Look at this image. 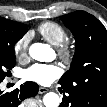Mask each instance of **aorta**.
I'll return each mask as SVG.
<instances>
[{
  "instance_id": "1",
  "label": "aorta",
  "mask_w": 107,
  "mask_h": 107,
  "mask_svg": "<svg viewBox=\"0 0 107 107\" xmlns=\"http://www.w3.org/2000/svg\"><path fill=\"white\" fill-rule=\"evenodd\" d=\"M49 52V46L43 43H34L29 48L30 56L41 62L48 60ZM43 103L46 107H58L60 105V98L56 93L49 92L44 95Z\"/></svg>"
}]
</instances>
